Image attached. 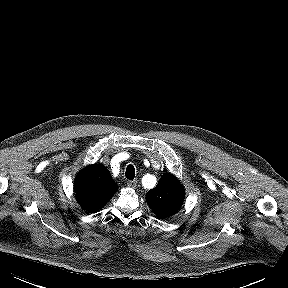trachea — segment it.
I'll list each match as a JSON object with an SVG mask.
<instances>
[{
  "label": "trachea",
  "mask_w": 288,
  "mask_h": 288,
  "mask_svg": "<svg viewBox=\"0 0 288 288\" xmlns=\"http://www.w3.org/2000/svg\"><path fill=\"white\" fill-rule=\"evenodd\" d=\"M125 176L129 180H133L135 177V168L133 165H128L126 168Z\"/></svg>",
  "instance_id": "trachea-1"
}]
</instances>
